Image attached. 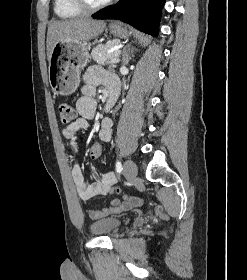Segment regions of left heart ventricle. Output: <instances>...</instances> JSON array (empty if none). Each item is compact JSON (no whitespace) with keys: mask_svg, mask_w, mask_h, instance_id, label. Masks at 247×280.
<instances>
[{"mask_svg":"<svg viewBox=\"0 0 247 280\" xmlns=\"http://www.w3.org/2000/svg\"><path fill=\"white\" fill-rule=\"evenodd\" d=\"M88 1L92 4H98V3H101V2L106 1V0H88Z\"/></svg>","mask_w":247,"mask_h":280,"instance_id":"left-heart-ventricle-1","label":"left heart ventricle"}]
</instances>
